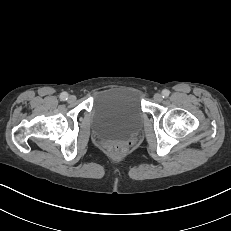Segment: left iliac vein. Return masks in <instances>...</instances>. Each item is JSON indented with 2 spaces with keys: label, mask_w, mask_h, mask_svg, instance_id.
<instances>
[{
  "label": "left iliac vein",
  "mask_w": 231,
  "mask_h": 231,
  "mask_svg": "<svg viewBox=\"0 0 231 231\" xmlns=\"http://www.w3.org/2000/svg\"><path fill=\"white\" fill-rule=\"evenodd\" d=\"M153 98L156 102H161L163 100V96L160 93L154 94Z\"/></svg>",
  "instance_id": "left-iliac-vein-1"
}]
</instances>
